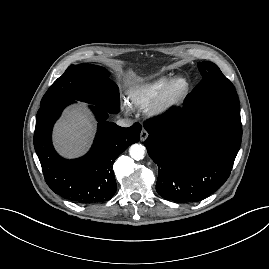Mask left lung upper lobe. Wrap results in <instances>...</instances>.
<instances>
[{"label":"left lung upper lobe","instance_id":"obj_1","mask_svg":"<svg viewBox=\"0 0 269 269\" xmlns=\"http://www.w3.org/2000/svg\"><path fill=\"white\" fill-rule=\"evenodd\" d=\"M202 81L187 97L183 109L196 111L213 106H234L240 108L239 99L233 84L218 66L209 61L198 63Z\"/></svg>","mask_w":269,"mask_h":269}]
</instances>
